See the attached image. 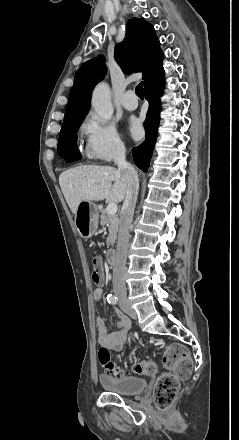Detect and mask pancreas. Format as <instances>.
Wrapping results in <instances>:
<instances>
[{
    "instance_id": "pancreas-1",
    "label": "pancreas",
    "mask_w": 239,
    "mask_h": 440,
    "mask_svg": "<svg viewBox=\"0 0 239 440\" xmlns=\"http://www.w3.org/2000/svg\"><path fill=\"white\" fill-rule=\"evenodd\" d=\"M100 224L101 226H107L109 230L106 246H114L117 240V232L119 226V218H117V214H108L107 210H101L100 216Z\"/></svg>"
}]
</instances>
